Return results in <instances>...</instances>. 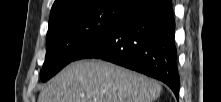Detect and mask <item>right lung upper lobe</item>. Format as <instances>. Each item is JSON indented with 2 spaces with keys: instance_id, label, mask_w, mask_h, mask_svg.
<instances>
[{
  "instance_id": "cb5924a9",
  "label": "right lung upper lobe",
  "mask_w": 221,
  "mask_h": 102,
  "mask_svg": "<svg viewBox=\"0 0 221 102\" xmlns=\"http://www.w3.org/2000/svg\"><path fill=\"white\" fill-rule=\"evenodd\" d=\"M82 1L84 0H55L50 12V17L61 11L72 8L78 5L79 3H81ZM130 1L134 7H137L145 0H130Z\"/></svg>"
}]
</instances>
